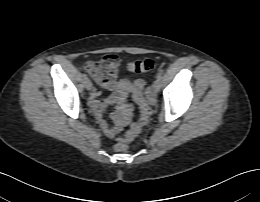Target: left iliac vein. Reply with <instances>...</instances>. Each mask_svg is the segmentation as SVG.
Wrapping results in <instances>:
<instances>
[{
    "instance_id": "4c4485c4",
    "label": "left iliac vein",
    "mask_w": 260,
    "mask_h": 202,
    "mask_svg": "<svg viewBox=\"0 0 260 202\" xmlns=\"http://www.w3.org/2000/svg\"><path fill=\"white\" fill-rule=\"evenodd\" d=\"M160 87H161V82H160V80L157 79L152 84V91L158 92L160 90Z\"/></svg>"
}]
</instances>
